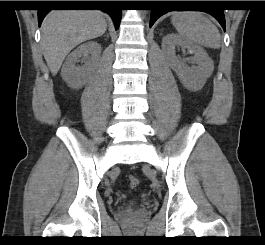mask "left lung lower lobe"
I'll list each match as a JSON object with an SVG mask.
<instances>
[{
	"instance_id": "obj_1",
	"label": "left lung lower lobe",
	"mask_w": 265,
	"mask_h": 245,
	"mask_svg": "<svg viewBox=\"0 0 265 245\" xmlns=\"http://www.w3.org/2000/svg\"><path fill=\"white\" fill-rule=\"evenodd\" d=\"M211 4H217L215 1ZM156 7L151 10V18H150V27L155 23V21L162 16L163 14L169 11H183L184 7H194L196 4L193 1H156ZM204 11L211 14L215 17L222 28L225 30V16L224 10L221 8H211L208 10H198Z\"/></svg>"
}]
</instances>
